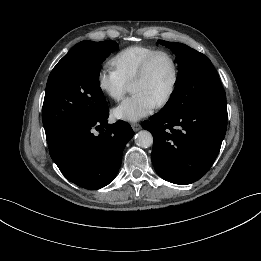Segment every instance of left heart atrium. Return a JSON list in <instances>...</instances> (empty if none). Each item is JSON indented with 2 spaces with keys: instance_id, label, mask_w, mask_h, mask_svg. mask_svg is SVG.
<instances>
[{
  "instance_id": "left-heart-atrium-1",
  "label": "left heart atrium",
  "mask_w": 261,
  "mask_h": 261,
  "mask_svg": "<svg viewBox=\"0 0 261 261\" xmlns=\"http://www.w3.org/2000/svg\"><path fill=\"white\" fill-rule=\"evenodd\" d=\"M157 104L143 93H134L113 109V116L124 121H139L148 116L156 108Z\"/></svg>"
}]
</instances>
